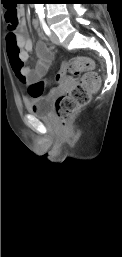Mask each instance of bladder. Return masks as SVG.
Instances as JSON below:
<instances>
[{"instance_id": "1", "label": "bladder", "mask_w": 122, "mask_h": 257, "mask_svg": "<svg viewBox=\"0 0 122 257\" xmlns=\"http://www.w3.org/2000/svg\"><path fill=\"white\" fill-rule=\"evenodd\" d=\"M26 110L37 117H48L52 109V100L48 95L35 96L25 102Z\"/></svg>"}]
</instances>
